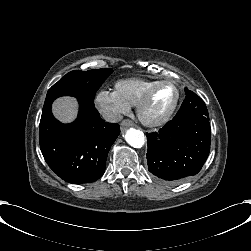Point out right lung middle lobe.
I'll use <instances>...</instances> for the list:
<instances>
[{
  "label": "right lung middle lobe",
  "instance_id": "dd1d6c3e",
  "mask_svg": "<svg viewBox=\"0 0 251 251\" xmlns=\"http://www.w3.org/2000/svg\"><path fill=\"white\" fill-rule=\"evenodd\" d=\"M112 72V69H96L67 73L48 90L43 110L51 107L56 98L66 95L94 104L96 91Z\"/></svg>",
  "mask_w": 251,
  "mask_h": 251
}]
</instances>
